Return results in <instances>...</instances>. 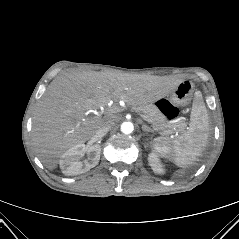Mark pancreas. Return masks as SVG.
<instances>
[{
    "mask_svg": "<svg viewBox=\"0 0 239 239\" xmlns=\"http://www.w3.org/2000/svg\"><path fill=\"white\" fill-rule=\"evenodd\" d=\"M136 111H139L146 115L152 124L154 130L161 131V134L167 135L173 132V130H182L185 126V122L180 120L177 124L171 125L166 123V118L162 112L154 105H142L140 107H134Z\"/></svg>",
    "mask_w": 239,
    "mask_h": 239,
    "instance_id": "pancreas-1",
    "label": "pancreas"
}]
</instances>
